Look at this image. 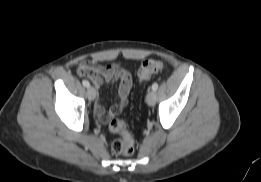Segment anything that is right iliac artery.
Segmentation results:
<instances>
[{"instance_id": "obj_1", "label": "right iliac artery", "mask_w": 261, "mask_h": 182, "mask_svg": "<svg viewBox=\"0 0 261 182\" xmlns=\"http://www.w3.org/2000/svg\"><path fill=\"white\" fill-rule=\"evenodd\" d=\"M82 84H83V86H85L87 88L90 86V83L88 81H86V80H83Z\"/></svg>"}]
</instances>
